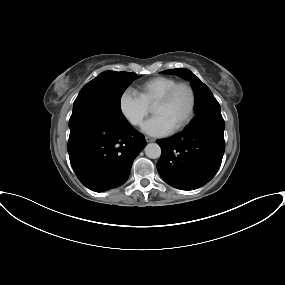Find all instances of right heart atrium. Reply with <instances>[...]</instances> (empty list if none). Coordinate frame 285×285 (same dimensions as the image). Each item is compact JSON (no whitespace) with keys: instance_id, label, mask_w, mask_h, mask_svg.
Segmentation results:
<instances>
[{"instance_id":"obj_1","label":"right heart atrium","mask_w":285,"mask_h":285,"mask_svg":"<svg viewBox=\"0 0 285 285\" xmlns=\"http://www.w3.org/2000/svg\"><path fill=\"white\" fill-rule=\"evenodd\" d=\"M118 105L123 118L134 127L141 126L150 112V108L131 89H125L120 94Z\"/></svg>"}]
</instances>
